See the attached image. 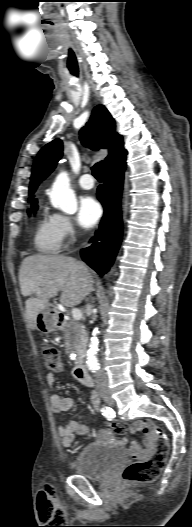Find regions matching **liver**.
<instances>
[{
    "label": "liver",
    "instance_id": "obj_1",
    "mask_svg": "<svg viewBox=\"0 0 192 527\" xmlns=\"http://www.w3.org/2000/svg\"><path fill=\"white\" fill-rule=\"evenodd\" d=\"M19 283L26 302V320L37 329V315L49 300L61 291L60 302L66 307L79 305L93 289V276L82 262L61 255H31L23 259ZM34 295V296H33Z\"/></svg>",
    "mask_w": 192,
    "mask_h": 527
}]
</instances>
